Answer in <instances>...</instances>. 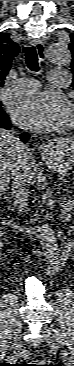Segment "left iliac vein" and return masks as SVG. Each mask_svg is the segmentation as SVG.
<instances>
[{
  "mask_svg": "<svg viewBox=\"0 0 74 366\" xmlns=\"http://www.w3.org/2000/svg\"><path fill=\"white\" fill-rule=\"evenodd\" d=\"M45 333L48 336V340H50L51 346L55 349L60 348V338L58 332L52 326H47L45 328ZM63 360L68 366L73 365L72 359L66 352L63 353Z\"/></svg>",
  "mask_w": 74,
  "mask_h": 366,
  "instance_id": "obj_1",
  "label": "left iliac vein"
}]
</instances>
